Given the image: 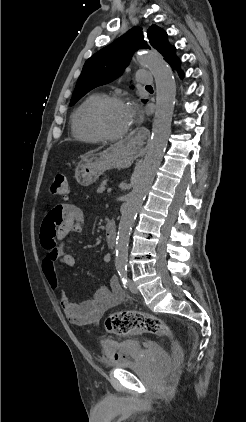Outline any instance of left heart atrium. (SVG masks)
<instances>
[{"mask_svg": "<svg viewBox=\"0 0 246 422\" xmlns=\"http://www.w3.org/2000/svg\"><path fill=\"white\" fill-rule=\"evenodd\" d=\"M126 109H127L129 124H131L137 116V107L134 104H127Z\"/></svg>", "mask_w": 246, "mask_h": 422, "instance_id": "39dd6f15", "label": "left heart atrium"}]
</instances>
